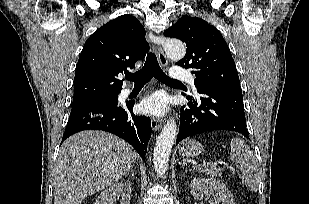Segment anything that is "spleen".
<instances>
[{"label":"spleen","mask_w":309,"mask_h":204,"mask_svg":"<svg viewBox=\"0 0 309 204\" xmlns=\"http://www.w3.org/2000/svg\"><path fill=\"white\" fill-rule=\"evenodd\" d=\"M230 160L241 170L242 183L250 190L257 191L260 171L250 147L240 138L231 141Z\"/></svg>","instance_id":"3e777b00"}]
</instances>
